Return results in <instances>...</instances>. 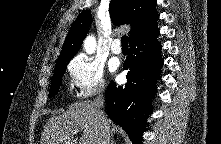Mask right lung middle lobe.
Segmentation results:
<instances>
[{"label":"right lung middle lobe","mask_w":221,"mask_h":144,"mask_svg":"<svg viewBox=\"0 0 221 144\" xmlns=\"http://www.w3.org/2000/svg\"><path fill=\"white\" fill-rule=\"evenodd\" d=\"M66 67H67V63L56 65L55 72H54L53 79H52L51 89L49 91L50 97H53L57 94L60 88L62 76L66 70Z\"/></svg>","instance_id":"right-lung-middle-lobe-1"}]
</instances>
